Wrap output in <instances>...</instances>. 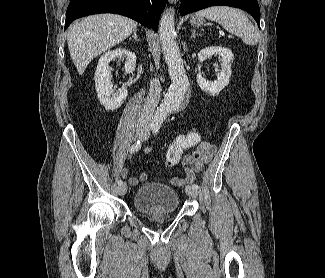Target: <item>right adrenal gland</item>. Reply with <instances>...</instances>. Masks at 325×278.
Wrapping results in <instances>:
<instances>
[{
  "instance_id": "2a0ac1e0",
  "label": "right adrenal gland",
  "mask_w": 325,
  "mask_h": 278,
  "mask_svg": "<svg viewBox=\"0 0 325 278\" xmlns=\"http://www.w3.org/2000/svg\"><path fill=\"white\" fill-rule=\"evenodd\" d=\"M131 38H134L135 40L140 41V39L138 38V35H137V29L134 31V35L132 37H129V40Z\"/></svg>"
}]
</instances>
